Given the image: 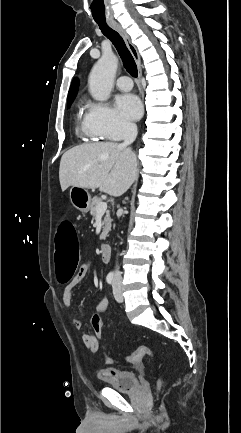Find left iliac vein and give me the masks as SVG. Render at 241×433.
Returning a JSON list of instances; mask_svg holds the SVG:
<instances>
[{
  "instance_id": "4c4485c4",
  "label": "left iliac vein",
  "mask_w": 241,
  "mask_h": 433,
  "mask_svg": "<svg viewBox=\"0 0 241 433\" xmlns=\"http://www.w3.org/2000/svg\"><path fill=\"white\" fill-rule=\"evenodd\" d=\"M113 294H114V298L117 302H119V303L123 302L121 284L117 280H114V282H113Z\"/></svg>"
}]
</instances>
